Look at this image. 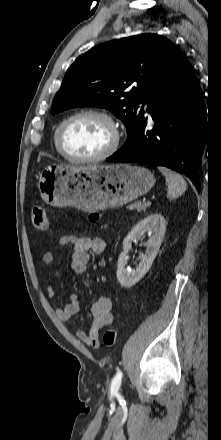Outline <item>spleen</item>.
Instances as JSON below:
<instances>
[{
	"mask_svg": "<svg viewBox=\"0 0 221 440\" xmlns=\"http://www.w3.org/2000/svg\"><path fill=\"white\" fill-rule=\"evenodd\" d=\"M158 169L166 178L167 197L169 199L177 198L186 191L187 183L180 174L166 167H158Z\"/></svg>",
	"mask_w": 221,
	"mask_h": 440,
	"instance_id": "1",
	"label": "spleen"
}]
</instances>
